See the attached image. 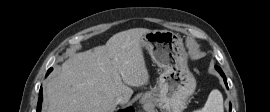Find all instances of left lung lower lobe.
Segmentation results:
<instances>
[{
	"mask_svg": "<svg viewBox=\"0 0 270 112\" xmlns=\"http://www.w3.org/2000/svg\"><path fill=\"white\" fill-rule=\"evenodd\" d=\"M215 68H216V70L220 73V75L223 77L224 82H225V85H226L227 88H228V84H227V80H226L225 74L223 73V71L221 70L220 67L216 66ZM229 112H231V104H230Z\"/></svg>",
	"mask_w": 270,
	"mask_h": 112,
	"instance_id": "0a47b994",
	"label": "left lung lower lobe"
}]
</instances>
